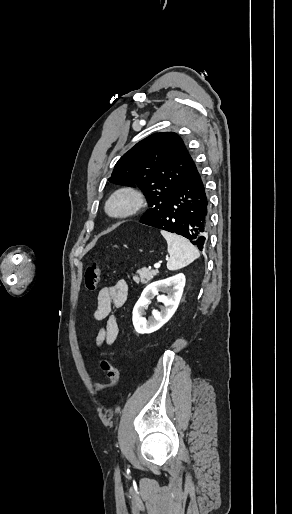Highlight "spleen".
I'll list each match as a JSON object with an SVG mask.
<instances>
[{"mask_svg": "<svg viewBox=\"0 0 292 514\" xmlns=\"http://www.w3.org/2000/svg\"><path fill=\"white\" fill-rule=\"evenodd\" d=\"M161 234L167 242L168 254L170 256L167 262V268L171 270V272L181 270V268L189 266L191 262L200 258L197 248L192 246L186 238L177 236V234H170V232H165V230H161Z\"/></svg>", "mask_w": 292, "mask_h": 514, "instance_id": "3e777b00", "label": "spleen"}]
</instances>
